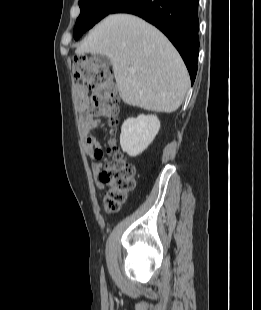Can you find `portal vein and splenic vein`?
<instances>
[{
	"label": "portal vein and splenic vein",
	"instance_id": "18ae733b",
	"mask_svg": "<svg viewBox=\"0 0 261 310\" xmlns=\"http://www.w3.org/2000/svg\"><path fill=\"white\" fill-rule=\"evenodd\" d=\"M129 72L130 73H135V69L134 68H129Z\"/></svg>",
	"mask_w": 261,
	"mask_h": 310
}]
</instances>
